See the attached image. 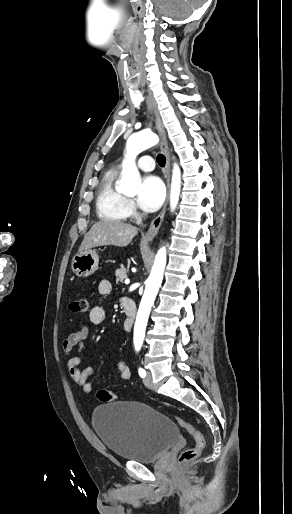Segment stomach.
<instances>
[{
    "mask_svg": "<svg viewBox=\"0 0 292 514\" xmlns=\"http://www.w3.org/2000/svg\"><path fill=\"white\" fill-rule=\"evenodd\" d=\"M99 256L96 250H84V252H78L74 256L71 264V268L75 276L79 278H87L94 274L98 270Z\"/></svg>",
    "mask_w": 292,
    "mask_h": 514,
    "instance_id": "stomach-1",
    "label": "stomach"
}]
</instances>
